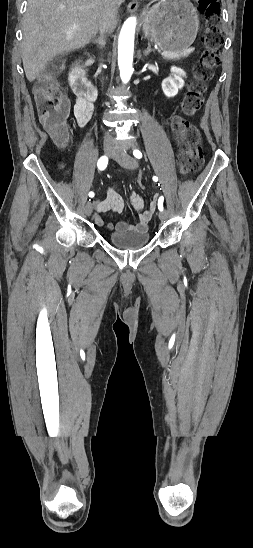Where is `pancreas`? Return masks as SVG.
Here are the masks:
<instances>
[{
  "label": "pancreas",
  "mask_w": 253,
  "mask_h": 548,
  "mask_svg": "<svg viewBox=\"0 0 253 548\" xmlns=\"http://www.w3.org/2000/svg\"><path fill=\"white\" fill-rule=\"evenodd\" d=\"M190 53H191V50H188V49L181 53H172V52L164 51L162 53V56L166 60H179L181 58L187 57Z\"/></svg>",
  "instance_id": "pancreas-1"
}]
</instances>
